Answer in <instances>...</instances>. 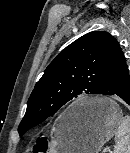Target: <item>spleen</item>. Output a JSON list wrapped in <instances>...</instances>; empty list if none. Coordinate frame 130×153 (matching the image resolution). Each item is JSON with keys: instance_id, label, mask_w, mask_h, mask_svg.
<instances>
[{"instance_id": "1", "label": "spleen", "mask_w": 130, "mask_h": 153, "mask_svg": "<svg viewBox=\"0 0 130 153\" xmlns=\"http://www.w3.org/2000/svg\"><path fill=\"white\" fill-rule=\"evenodd\" d=\"M113 153H130V116L122 117L115 132Z\"/></svg>"}]
</instances>
